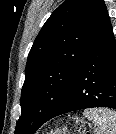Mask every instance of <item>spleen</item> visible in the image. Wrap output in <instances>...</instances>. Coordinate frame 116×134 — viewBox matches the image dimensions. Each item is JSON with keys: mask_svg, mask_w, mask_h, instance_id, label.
<instances>
[{"mask_svg": "<svg viewBox=\"0 0 116 134\" xmlns=\"http://www.w3.org/2000/svg\"><path fill=\"white\" fill-rule=\"evenodd\" d=\"M83 115L95 126V134H116V112L107 108L85 110Z\"/></svg>", "mask_w": 116, "mask_h": 134, "instance_id": "1", "label": "spleen"}]
</instances>
